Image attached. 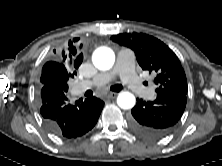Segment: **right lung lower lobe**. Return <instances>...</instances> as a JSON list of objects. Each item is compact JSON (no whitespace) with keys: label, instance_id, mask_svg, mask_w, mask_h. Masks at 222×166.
Listing matches in <instances>:
<instances>
[{"label":"right lung lower lobe","instance_id":"obj_1","mask_svg":"<svg viewBox=\"0 0 222 166\" xmlns=\"http://www.w3.org/2000/svg\"><path fill=\"white\" fill-rule=\"evenodd\" d=\"M39 99L47 128L56 136L68 139L91 130L104 106V102L96 97L69 103L66 92L52 85L42 86Z\"/></svg>","mask_w":222,"mask_h":166}]
</instances>
